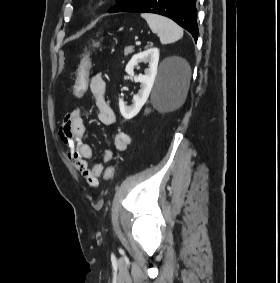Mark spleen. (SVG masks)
Here are the masks:
<instances>
[{
    "instance_id": "spleen-1",
    "label": "spleen",
    "mask_w": 280,
    "mask_h": 283,
    "mask_svg": "<svg viewBox=\"0 0 280 283\" xmlns=\"http://www.w3.org/2000/svg\"><path fill=\"white\" fill-rule=\"evenodd\" d=\"M151 31L157 33L162 44L173 43L183 37V29L171 19L151 13H142ZM190 79V70L188 69L185 76V82Z\"/></svg>"
}]
</instances>
